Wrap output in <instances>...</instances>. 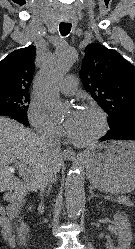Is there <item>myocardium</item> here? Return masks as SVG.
Instances as JSON below:
<instances>
[{
  "label": "myocardium",
  "mask_w": 135,
  "mask_h": 249,
  "mask_svg": "<svg viewBox=\"0 0 135 249\" xmlns=\"http://www.w3.org/2000/svg\"><path fill=\"white\" fill-rule=\"evenodd\" d=\"M84 109H88L97 115V117L99 119L100 127H99L98 131L93 136H91L90 138H88L86 140H77V139L73 138L71 135H69L70 141L74 145L79 146V147H87V146L93 145L98 140H100L106 134V132L108 130L107 116H106L105 112L100 107H98L95 104L88 103V104L84 105Z\"/></svg>",
  "instance_id": "f54148a6"
}]
</instances>
